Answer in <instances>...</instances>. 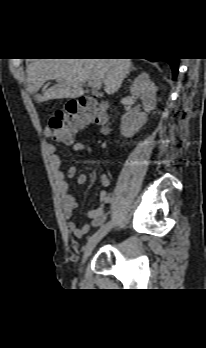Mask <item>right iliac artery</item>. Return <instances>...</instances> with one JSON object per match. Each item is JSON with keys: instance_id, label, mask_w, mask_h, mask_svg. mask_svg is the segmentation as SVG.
<instances>
[{"instance_id": "obj_1", "label": "right iliac artery", "mask_w": 206, "mask_h": 348, "mask_svg": "<svg viewBox=\"0 0 206 348\" xmlns=\"http://www.w3.org/2000/svg\"><path fill=\"white\" fill-rule=\"evenodd\" d=\"M103 201L106 205H109L111 203V196L104 195Z\"/></svg>"}]
</instances>
